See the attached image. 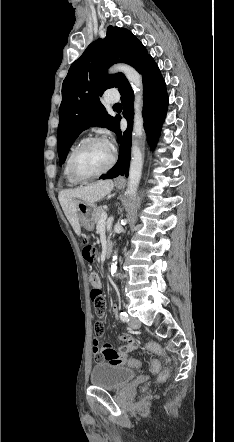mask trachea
Instances as JSON below:
<instances>
[{"label":"trachea","instance_id":"obj_1","mask_svg":"<svg viewBox=\"0 0 234 442\" xmlns=\"http://www.w3.org/2000/svg\"><path fill=\"white\" fill-rule=\"evenodd\" d=\"M114 107H121V104L117 103V104L114 105Z\"/></svg>","mask_w":234,"mask_h":442}]
</instances>
